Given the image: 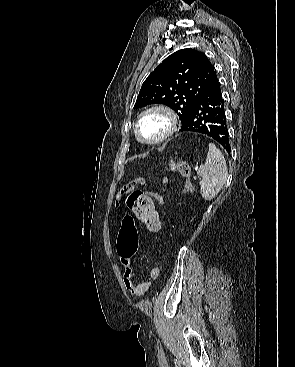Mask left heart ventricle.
I'll return each mask as SVG.
<instances>
[{
  "label": "left heart ventricle",
  "mask_w": 295,
  "mask_h": 367,
  "mask_svg": "<svg viewBox=\"0 0 295 367\" xmlns=\"http://www.w3.org/2000/svg\"><path fill=\"white\" fill-rule=\"evenodd\" d=\"M167 127L166 118L162 114L153 113L142 119L139 130L143 138L151 140L160 137Z\"/></svg>",
  "instance_id": "1"
}]
</instances>
